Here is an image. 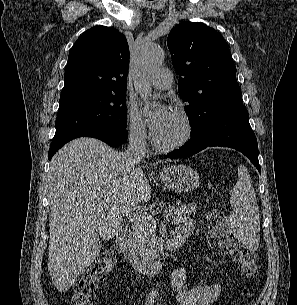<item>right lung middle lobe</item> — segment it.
I'll use <instances>...</instances> for the list:
<instances>
[{
  "label": "right lung middle lobe",
  "mask_w": 297,
  "mask_h": 305,
  "mask_svg": "<svg viewBox=\"0 0 297 305\" xmlns=\"http://www.w3.org/2000/svg\"><path fill=\"white\" fill-rule=\"evenodd\" d=\"M126 90L89 93L60 99L51 147L75 134L95 128L126 129Z\"/></svg>",
  "instance_id": "right-lung-middle-lobe-1"
}]
</instances>
